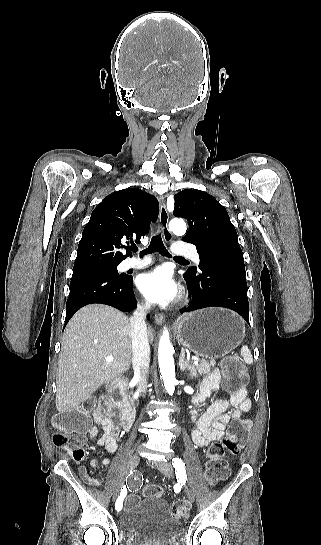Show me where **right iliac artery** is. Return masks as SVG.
Wrapping results in <instances>:
<instances>
[{"label": "right iliac artery", "mask_w": 321, "mask_h": 545, "mask_svg": "<svg viewBox=\"0 0 321 545\" xmlns=\"http://www.w3.org/2000/svg\"><path fill=\"white\" fill-rule=\"evenodd\" d=\"M126 494H127L126 486H123V488H121L120 496H119V498H118V500L116 501V504H115V508H116L117 511L121 510L122 501L125 498Z\"/></svg>", "instance_id": "82829eb1"}]
</instances>
